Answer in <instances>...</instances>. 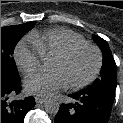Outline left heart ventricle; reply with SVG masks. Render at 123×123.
<instances>
[{"instance_id":"obj_1","label":"left heart ventricle","mask_w":123,"mask_h":123,"mask_svg":"<svg viewBox=\"0 0 123 123\" xmlns=\"http://www.w3.org/2000/svg\"><path fill=\"white\" fill-rule=\"evenodd\" d=\"M96 65V56L91 49H82L69 58L54 56L50 67L60 70L68 83L81 82L87 79Z\"/></svg>"}]
</instances>
